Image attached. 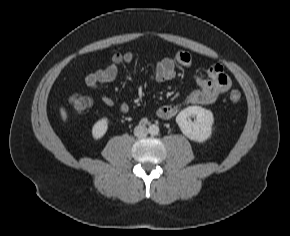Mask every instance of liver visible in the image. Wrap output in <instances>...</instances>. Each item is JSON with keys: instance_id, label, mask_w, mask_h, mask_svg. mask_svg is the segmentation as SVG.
I'll return each instance as SVG.
<instances>
[{"instance_id": "1", "label": "liver", "mask_w": 290, "mask_h": 236, "mask_svg": "<svg viewBox=\"0 0 290 236\" xmlns=\"http://www.w3.org/2000/svg\"><path fill=\"white\" fill-rule=\"evenodd\" d=\"M60 115H61L62 120L66 122L68 115H67L66 110L63 107L60 108Z\"/></svg>"}]
</instances>
